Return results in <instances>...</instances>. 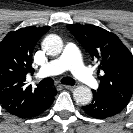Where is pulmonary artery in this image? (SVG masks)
I'll return each instance as SVG.
<instances>
[{
  "label": "pulmonary artery",
  "mask_w": 133,
  "mask_h": 133,
  "mask_svg": "<svg viewBox=\"0 0 133 133\" xmlns=\"http://www.w3.org/2000/svg\"><path fill=\"white\" fill-rule=\"evenodd\" d=\"M70 70L80 81L90 87H97L98 83L89 69L83 64L80 52L73 43H68L62 54L43 65L38 72L39 77L60 74Z\"/></svg>",
  "instance_id": "e3ab8cb5"
}]
</instances>
